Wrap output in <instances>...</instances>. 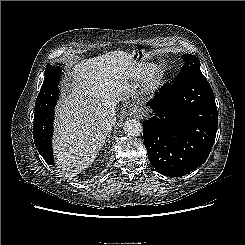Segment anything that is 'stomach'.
Instances as JSON below:
<instances>
[{
    "label": "stomach",
    "mask_w": 245,
    "mask_h": 245,
    "mask_svg": "<svg viewBox=\"0 0 245 245\" xmlns=\"http://www.w3.org/2000/svg\"><path fill=\"white\" fill-rule=\"evenodd\" d=\"M150 52L146 49H136L133 51V55L136 59L148 57Z\"/></svg>",
    "instance_id": "0dacf381"
}]
</instances>
